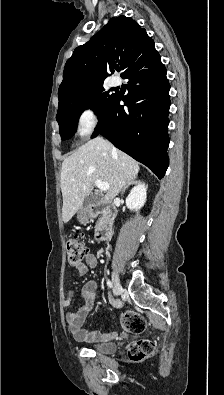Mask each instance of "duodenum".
<instances>
[{"instance_id":"duodenum-1","label":"duodenum","mask_w":224,"mask_h":395,"mask_svg":"<svg viewBox=\"0 0 224 395\" xmlns=\"http://www.w3.org/2000/svg\"><path fill=\"white\" fill-rule=\"evenodd\" d=\"M116 212V208L113 204L99 203L90 207V216L94 217L98 214H103V219L100 222L94 233V240L101 242L106 240L110 236L111 232V219Z\"/></svg>"}]
</instances>
